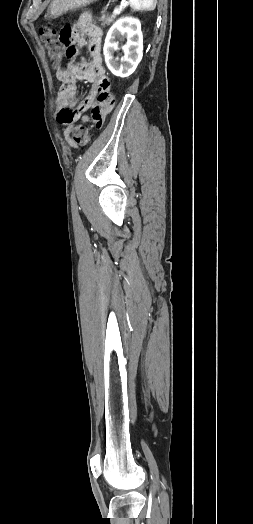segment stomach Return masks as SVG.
I'll list each match as a JSON object with an SVG mask.
<instances>
[{"mask_svg": "<svg viewBox=\"0 0 253 524\" xmlns=\"http://www.w3.org/2000/svg\"><path fill=\"white\" fill-rule=\"evenodd\" d=\"M95 1L97 0H53L47 14L49 18L56 19L68 11L82 8Z\"/></svg>", "mask_w": 253, "mask_h": 524, "instance_id": "0dacf381", "label": "stomach"}]
</instances>
